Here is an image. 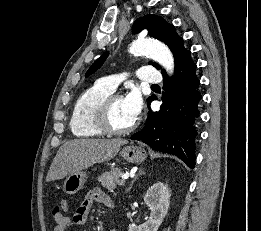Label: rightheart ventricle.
<instances>
[{
	"mask_svg": "<svg viewBox=\"0 0 261 231\" xmlns=\"http://www.w3.org/2000/svg\"><path fill=\"white\" fill-rule=\"evenodd\" d=\"M113 91L97 83L86 90L74 104L70 115V128L72 133L81 138L98 137L105 133L94 122V115L100 103Z\"/></svg>",
	"mask_w": 261,
	"mask_h": 231,
	"instance_id": "e07e8e85",
	"label": "right heart ventricle"
}]
</instances>
